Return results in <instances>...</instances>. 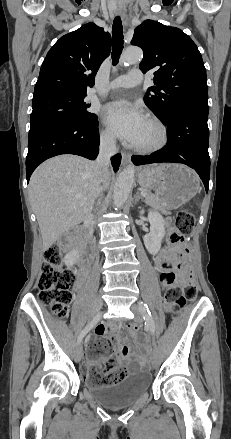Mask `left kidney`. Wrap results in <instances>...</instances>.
Returning a JSON list of instances; mask_svg holds the SVG:
<instances>
[{
  "instance_id": "obj_1",
  "label": "left kidney",
  "mask_w": 231,
  "mask_h": 439,
  "mask_svg": "<svg viewBox=\"0 0 231 439\" xmlns=\"http://www.w3.org/2000/svg\"><path fill=\"white\" fill-rule=\"evenodd\" d=\"M140 213L143 214L144 210H141ZM148 219L150 222V232L144 236L143 240L148 252L156 255L161 248L162 239L165 235V222L163 217L156 212H150Z\"/></svg>"
}]
</instances>
